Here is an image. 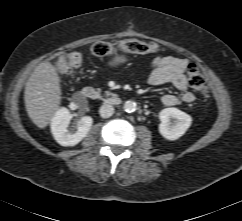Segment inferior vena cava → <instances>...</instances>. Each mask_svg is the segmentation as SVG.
<instances>
[{
    "label": "inferior vena cava",
    "mask_w": 242,
    "mask_h": 221,
    "mask_svg": "<svg viewBox=\"0 0 242 221\" xmlns=\"http://www.w3.org/2000/svg\"><path fill=\"white\" fill-rule=\"evenodd\" d=\"M99 114L103 118H109L114 114V107L110 104H103L99 109Z\"/></svg>",
    "instance_id": "inferior-vena-cava-1"
}]
</instances>
